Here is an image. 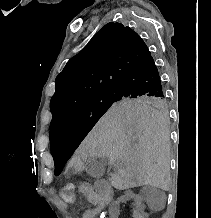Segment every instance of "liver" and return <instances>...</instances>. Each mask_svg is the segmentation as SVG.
Returning a JSON list of instances; mask_svg holds the SVG:
<instances>
[{
    "label": "liver",
    "mask_w": 211,
    "mask_h": 218,
    "mask_svg": "<svg viewBox=\"0 0 211 218\" xmlns=\"http://www.w3.org/2000/svg\"><path fill=\"white\" fill-rule=\"evenodd\" d=\"M105 156L122 166L112 178L116 190L155 186L169 190V132L165 118L151 108L113 104L89 132L72 158L81 170L88 158Z\"/></svg>",
    "instance_id": "liver-1"
}]
</instances>
